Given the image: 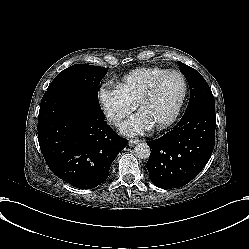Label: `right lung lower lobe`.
<instances>
[{"label": "right lung lower lobe", "mask_w": 249, "mask_h": 249, "mask_svg": "<svg viewBox=\"0 0 249 249\" xmlns=\"http://www.w3.org/2000/svg\"><path fill=\"white\" fill-rule=\"evenodd\" d=\"M38 141L52 172L80 188H93L108 177L111 163L127 145L101 109L85 104L73 91H46L40 105Z\"/></svg>", "instance_id": "1"}]
</instances>
